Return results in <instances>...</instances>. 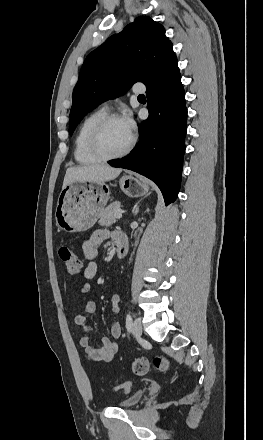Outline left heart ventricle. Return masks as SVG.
<instances>
[{
  "mask_svg": "<svg viewBox=\"0 0 263 440\" xmlns=\"http://www.w3.org/2000/svg\"><path fill=\"white\" fill-rule=\"evenodd\" d=\"M130 139V131L124 121L110 122L101 133V146L106 153L121 151Z\"/></svg>",
  "mask_w": 263,
  "mask_h": 440,
  "instance_id": "left-heart-ventricle-1",
  "label": "left heart ventricle"
}]
</instances>
